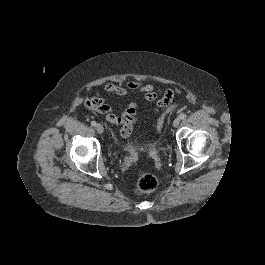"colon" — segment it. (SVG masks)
<instances>
[{"instance_id":"obj_1","label":"colon","mask_w":265,"mask_h":265,"mask_svg":"<svg viewBox=\"0 0 265 265\" xmlns=\"http://www.w3.org/2000/svg\"><path fill=\"white\" fill-rule=\"evenodd\" d=\"M163 98L166 102V106L168 107L166 111L159 117L158 123H157V129L158 131L162 130L165 117L168 114V112L171 110V103L173 100V92L171 90H166ZM131 131L129 130L128 127H123L121 128L120 135L122 137H128L130 135ZM158 185V179L156 178L155 175L151 173H144L142 174L136 183V192L138 194H148L156 189Z\"/></svg>"}]
</instances>
